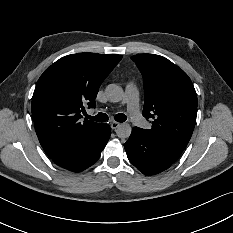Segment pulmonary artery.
<instances>
[{
	"instance_id": "pulmonary-artery-1",
	"label": "pulmonary artery",
	"mask_w": 233,
	"mask_h": 233,
	"mask_svg": "<svg viewBox=\"0 0 233 233\" xmlns=\"http://www.w3.org/2000/svg\"><path fill=\"white\" fill-rule=\"evenodd\" d=\"M124 103L129 111L130 121L134 126H138L141 131L150 129V122L141 115L139 109V90L135 83L130 82L125 87Z\"/></svg>"
}]
</instances>
